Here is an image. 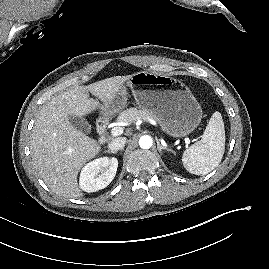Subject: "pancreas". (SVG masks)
Listing matches in <instances>:
<instances>
[{
	"mask_svg": "<svg viewBox=\"0 0 269 269\" xmlns=\"http://www.w3.org/2000/svg\"><path fill=\"white\" fill-rule=\"evenodd\" d=\"M151 118V114L146 110L130 108L124 110L118 117L117 121L121 123H132L139 119Z\"/></svg>",
	"mask_w": 269,
	"mask_h": 269,
	"instance_id": "pancreas-1",
	"label": "pancreas"
}]
</instances>
